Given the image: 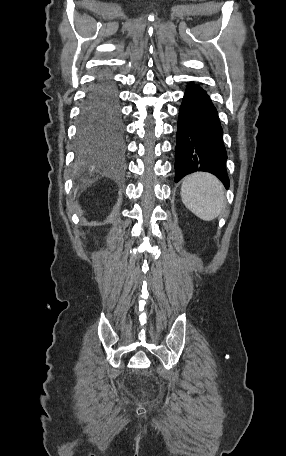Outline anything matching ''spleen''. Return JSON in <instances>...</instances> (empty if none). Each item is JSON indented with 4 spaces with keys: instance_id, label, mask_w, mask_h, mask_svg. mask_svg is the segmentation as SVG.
Returning a JSON list of instances; mask_svg holds the SVG:
<instances>
[{
    "instance_id": "1",
    "label": "spleen",
    "mask_w": 286,
    "mask_h": 456,
    "mask_svg": "<svg viewBox=\"0 0 286 456\" xmlns=\"http://www.w3.org/2000/svg\"><path fill=\"white\" fill-rule=\"evenodd\" d=\"M181 199L187 209L204 221L216 219L226 205L222 183L205 172L193 173L184 179Z\"/></svg>"
}]
</instances>
